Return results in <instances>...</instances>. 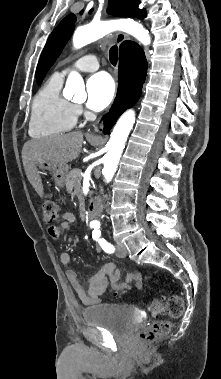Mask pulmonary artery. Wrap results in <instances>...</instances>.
<instances>
[{"mask_svg": "<svg viewBox=\"0 0 221 379\" xmlns=\"http://www.w3.org/2000/svg\"><path fill=\"white\" fill-rule=\"evenodd\" d=\"M98 68H99L98 58L93 54H88V55L82 56L81 58L76 60L72 65L64 68L61 72H57L56 74L60 75L61 77H64L71 70L93 72V71H96Z\"/></svg>", "mask_w": 221, "mask_h": 379, "instance_id": "obj_1", "label": "pulmonary artery"}]
</instances>
